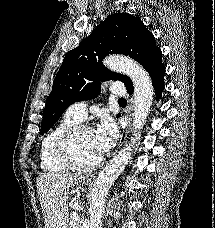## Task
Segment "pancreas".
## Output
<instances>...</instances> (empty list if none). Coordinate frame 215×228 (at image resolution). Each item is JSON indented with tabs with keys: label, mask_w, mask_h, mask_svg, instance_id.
Wrapping results in <instances>:
<instances>
[{
	"label": "pancreas",
	"mask_w": 215,
	"mask_h": 228,
	"mask_svg": "<svg viewBox=\"0 0 215 228\" xmlns=\"http://www.w3.org/2000/svg\"><path fill=\"white\" fill-rule=\"evenodd\" d=\"M68 228H80V226H78V222H74V220H70L68 224Z\"/></svg>",
	"instance_id": "obj_1"
}]
</instances>
